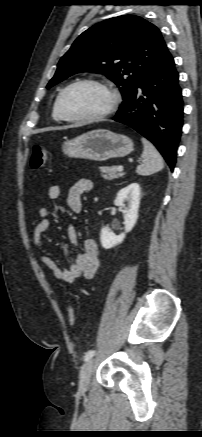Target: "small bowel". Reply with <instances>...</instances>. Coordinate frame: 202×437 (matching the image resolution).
Returning <instances> with one entry per match:
<instances>
[{"instance_id":"small-bowel-1","label":"small bowel","mask_w":202,"mask_h":437,"mask_svg":"<svg viewBox=\"0 0 202 437\" xmlns=\"http://www.w3.org/2000/svg\"><path fill=\"white\" fill-rule=\"evenodd\" d=\"M92 189V182L89 179H80L70 187L66 199L68 208L75 214L82 211V197ZM61 195V188L53 185L48 189V198L56 200ZM40 221L33 233V242L39 250H43V235L51 227L50 210L47 207L39 209ZM68 238L72 245L77 243V230L73 224L67 229ZM99 246L93 239H86L83 243V251L75 255L73 263L68 267L60 266L50 255L43 254L40 262L43 267L51 271L54 278L64 283H74L78 278H92L97 272L99 262Z\"/></svg>"}]
</instances>
